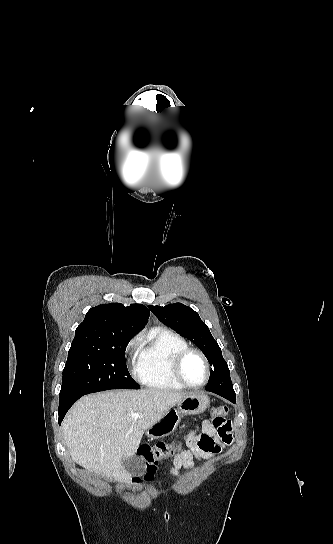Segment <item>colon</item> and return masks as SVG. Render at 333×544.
<instances>
[{
  "mask_svg": "<svg viewBox=\"0 0 333 544\" xmlns=\"http://www.w3.org/2000/svg\"><path fill=\"white\" fill-rule=\"evenodd\" d=\"M228 411L227 406L219 405L214 407L211 413L215 418H220L227 415ZM179 448L180 444L176 441L158 442L153 446L143 445L139 447L138 455L146 465L144 480H151L155 472L157 462L173 456Z\"/></svg>",
  "mask_w": 333,
  "mask_h": 544,
  "instance_id": "1",
  "label": "colon"
}]
</instances>
